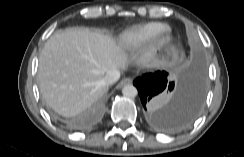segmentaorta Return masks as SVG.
<instances>
[{"mask_svg":"<svg viewBox=\"0 0 244 157\" xmlns=\"http://www.w3.org/2000/svg\"><path fill=\"white\" fill-rule=\"evenodd\" d=\"M122 93L126 97L133 98L138 94V91H137L135 86L128 84V85L123 87Z\"/></svg>","mask_w":244,"mask_h":157,"instance_id":"1","label":"aorta"}]
</instances>
